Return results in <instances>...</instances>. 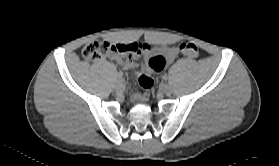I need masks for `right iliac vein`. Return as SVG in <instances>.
I'll return each mask as SVG.
<instances>
[{
  "mask_svg": "<svg viewBox=\"0 0 279 166\" xmlns=\"http://www.w3.org/2000/svg\"><path fill=\"white\" fill-rule=\"evenodd\" d=\"M115 90L117 92H122L124 90V82L123 80H118L115 85Z\"/></svg>",
  "mask_w": 279,
  "mask_h": 166,
  "instance_id": "1",
  "label": "right iliac vein"
}]
</instances>
